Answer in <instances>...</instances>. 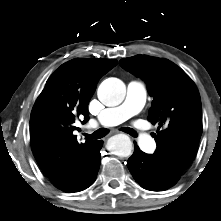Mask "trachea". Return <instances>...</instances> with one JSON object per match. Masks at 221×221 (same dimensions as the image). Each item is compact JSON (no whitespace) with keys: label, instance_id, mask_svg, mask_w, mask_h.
<instances>
[{"label":"trachea","instance_id":"trachea-1","mask_svg":"<svg viewBox=\"0 0 221 221\" xmlns=\"http://www.w3.org/2000/svg\"><path fill=\"white\" fill-rule=\"evenodd\" d=\"M120 130L128 133L132 137H136V135H137L136 131L133 130L132 128H129V127H124V128H121ZM108 133H109L108 129L101 128V129H98L97 131L93 132L92 134H85V136L90 139H101V138L105 137Z\"/></svg>","mask_w":221,"mask_h":221}]
</instances>
